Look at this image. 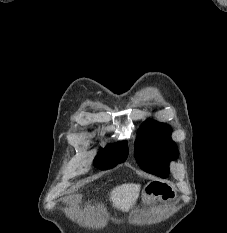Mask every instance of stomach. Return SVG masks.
Here are the masks:
<instances>
[{
	"label": "stomach",
	"mask_w": 227,
	"mask_h": 233,
	"mask_svg": "<svg viewBox=\"0 0 227 233\" xmlns=\"http://www.w3.org/2000/svg\"><path fill=\"white\" fill-rule=\"evenodd\" d=\"M164 197L163 184L160 182H151L143 190V198L145 201H150L151 199L159 201Z\"/></svg>",
	"instance_id": "0dacf381"
}]
</instances>
